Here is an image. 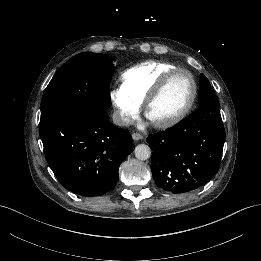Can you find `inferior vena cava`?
<instances>
[{
    "instance_id": "602c4592",
    "label": "inferior vena cava",
    "mask_w": 261,
    "mask_h": 261,
    "mask_svg": "<svg viewBox=\"0 0 261 261\" xmlns=\"http://www.w3.org/2000/svg\"><path fill=\"white\" fill-rule=\"evenodd\" d=\"M113 123L118 126H127L130 124V119L121 111H115L112 116Z\"/></svg>"
}]
</instances>
